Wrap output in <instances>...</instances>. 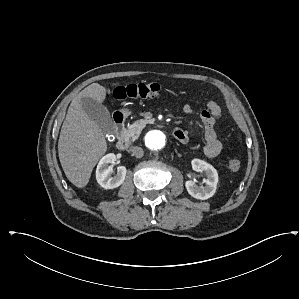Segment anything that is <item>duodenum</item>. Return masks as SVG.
Returning a JSON list of instances; mask_svg holds the SVG:
<instances>
[{
  "instance_id": "1",
  "label": "duodenum",
  "mask_w": 299,
  "mask_h": 299,
  "mask_svg": "<svg viewBox=\"0 0 299 299\" xmlns=\"http://www.w3.org/2000/svg\"><path fill=\"white\" fill-rule=\"evenodd\" d=\"M113 122H114L115 132L119 135V138L116 142V147L119 150H126L129 147V141L121 135L125 125V114L123 112L116 111L113 114ZM174 136L178 140L180 138H184V135L181 132L176 130L174 131Z\"/></svg>"
}]
</instances>
